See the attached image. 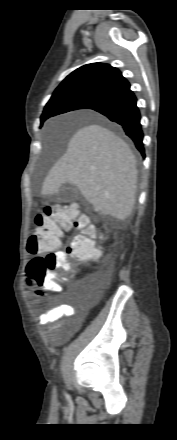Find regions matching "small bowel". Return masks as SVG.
<instances>
[{"label":"small bowel","mask_w":177,"mask_h":440,"mask_svg":"<svg viewBox=\"0 0 177 440\" xmlns=\"http://www.w3.org/2000/svg\"><path fill=\"white\" fill-rule=\"evenodd\" d=\"M31 277H32V273L30 270H28L27 279H31ZM44 286L48 288L46 284ZM76 316H77V311L74 307L63 304L49 309L47 312L43 313L40 316L39 320L42 325L52 324L50 329L53 331L59 330L62 327H67L68 328L67 333L61 336L60 338H58V341H63L72 331L78 328L79 324L83 320V316L77 318V320L72 324L67 323L64 320V318L76 317Z\"/></svg>","instance_id":"obj_1"}]
</instances>
